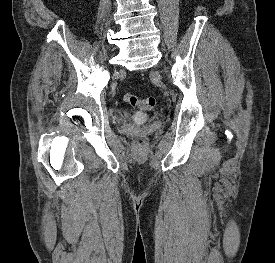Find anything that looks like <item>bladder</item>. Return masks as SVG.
<instances>
[{
	"mask_svg": "<svg viewBox=\"0 0 275 263\" xmlns=\"http://www.w3.org/2000/svg\"><path fill=\"white\" fill-rule=\"evenodd\" d=\"M147 116L144 113L138 112L134 115V120L137 122H144L146 121Z\"/></svg>",
	"mask_w": 275,
	"mask_h": 263,
	"instance_id": "bladder-1",
	"label": "bladder"
}]
</instances>
